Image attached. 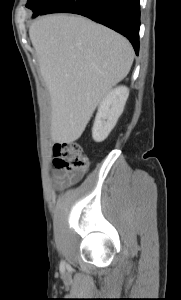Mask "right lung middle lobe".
Masks as SVG:
<instances>
[{
    "label": "right lung middle lobe",
    "instance_id": "1",
    "mask_svg": "<svg viewBox=\"0 0 181 300\" xmlns=\"http://www.w3.org/2000/svg\"><path fill=\"white\" fill-rule=\"evenodd\" d=\"M56 0H28L26 7L33 11V15L40 14L44 9Z\"/></svg>",
    "mask_w": 181,
    "mask_h": 300
}]
</instances>
